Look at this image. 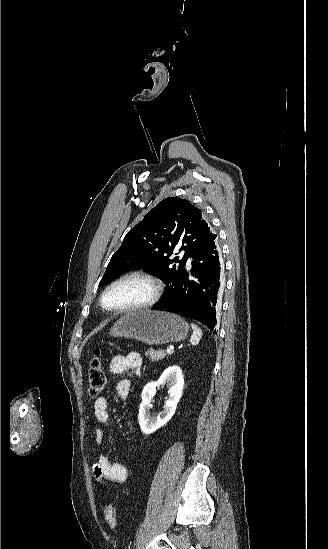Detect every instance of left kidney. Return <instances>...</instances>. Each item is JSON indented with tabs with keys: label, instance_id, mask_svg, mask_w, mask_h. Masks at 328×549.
Masks as SVG:
<instances>
[{
	"label": "left kidney",
	"instance_id": "obj_1",
	"mask_svg": "<svg viewBox=\"0 0 328 549\" xmlns=\"http://www.w3.org/2000/svg\"><path fill=\"white\" fill-rule=\"evenodd\" d=\"M158 385H168L169 399L165 403V409L157 415V417H149V409L152 407L151 401L156 395V387ZM184 387V379L180 367H168L162 373L158 381L147 383L142 391V403L139 409V425L144 435H151L153 431L160 429L162 425H166L171 417L175 415L176 407L182 397Z\"/></svg>",
	"mask_w": 328,
	"mask_h": 549
}]
</instances>
